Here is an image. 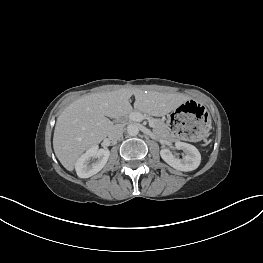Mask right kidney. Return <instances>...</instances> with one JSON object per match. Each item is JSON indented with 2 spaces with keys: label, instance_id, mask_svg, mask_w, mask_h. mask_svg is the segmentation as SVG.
<instances>
[{
  "label": "right kidney",
  "instance_id": "right-kidney-1",
  "mask_svg": "<svg viewBox=\"0 0 263 263\" xmlns=\"http://www.w3.org/2000/svg\"><path fill=\"white\" fill-rule=\"evenodd\" d=\"M109 156L108 149H98L97 146L89 148L75 163L78 177L89 178L97 174L105 166Z\"/></svg>",
  "mask_w": 263,
  "mask_h": 263
}]
</instances>
